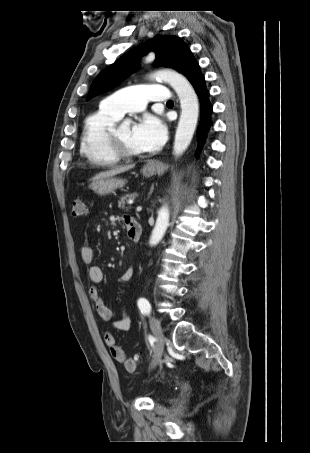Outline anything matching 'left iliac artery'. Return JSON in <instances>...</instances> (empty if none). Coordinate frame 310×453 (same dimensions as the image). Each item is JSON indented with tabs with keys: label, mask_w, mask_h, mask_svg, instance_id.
<instances>
[{
	"label": "left iliac artery",
	"mask_w": 310,
	"mask_h": 453,
	"mask_svg": "<svg viewBox=\"0 0 310 453\" xmlns=\"http://www.w3.org/2000/svg\"><path fill=\"white\" fill-rule=\"evenodd\" d=\"M138 307L144 315H148L151 311V305L149 301L145 298H140L138 300Z\"/></svg>",
	"instance_id": "1"
}]
</instances>
